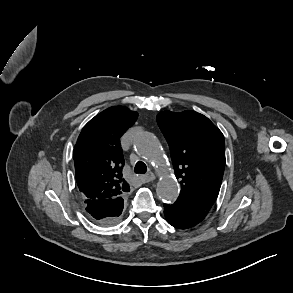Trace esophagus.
<instances>
[{"label":"esophagus","instance_id":"1","mask_svg":"<svg viewBox=\"0 0 293 293\" xmlns=\"http://www.w3.org/2000/svg\"><path fill=\"white\" fill-rule=\"evenodd\" d=\"M155 179V175L152 172L147 173L146 175L141 176L143 183L151 182Z\"/></svg>","mask_w":293,"mask_h":293}]
</instances>
